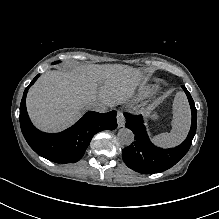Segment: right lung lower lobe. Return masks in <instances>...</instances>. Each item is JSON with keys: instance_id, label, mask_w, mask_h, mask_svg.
<instances>
[{"instance_id": "obj_1", "label": "right lung lower lobe", "mask_w": 219, "mask_h": 219, "mask_svg": "<svg viewBox=\"0 0 219 219\" xmlns=\"http://www.w3.org/2000/svg\"><path fill=\"white\" fill-rule=\"evenodd\" d=\"M38 77L39 75L25 89L21 100L19 119L22 133L30 147L40 156L56 163H75L82 158L96 133L117 127L116 111L87 112L77 123L63 132H41L33 126L26 110L28 89Z\"/></svg>"}]
</instances>
